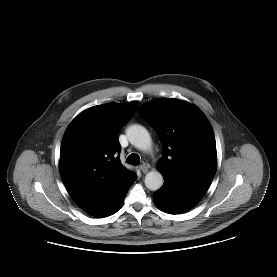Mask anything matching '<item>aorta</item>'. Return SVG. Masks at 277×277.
I'll list each match as a JSON object with an SVG mask.
<instances>
[{"label":"aorta","mask_w":277,"mask_h":277,"mask_svg":"<svg viewBox=\"0 0 277 277\" xmlns=\"http://www.w3.org/2000/svg\"><path fill=\"white\" fill-rule=\"evenodd\" d=\"M126 135L129 142L139 150L147 151L152 147V140L149 132L141 125H131L126 130ZM163 176L159 171H151L146 174L145 186L151 190L156 191L163 185Z\"/></svg>","instance_id":"aorta-1"}]
</instances>
